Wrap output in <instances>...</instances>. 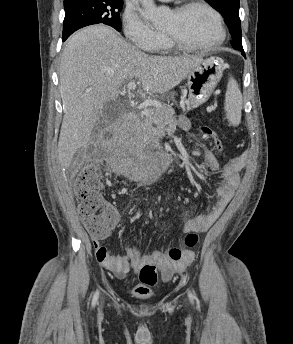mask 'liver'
<instances>
[{"label":"liver","mask_w":293,"mask_h":344,"mask_svg":"<svg viewBox=\"0 0 293 344\" xmlns=\"http://www.w3.org/2000/svg\"><path fill=\"white\" fill-rule=\"evenodd\" d=\"M203 59L153 56L104 25L86 27L67 42L60 63L64 116L58 142L63 168L86 146L103 106L116 100L122 85L137 79L145 92L163 94L176 87Z\"/></svg>","instance_id":"6515ba94"}]
</instances>
